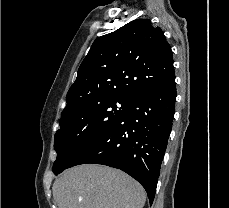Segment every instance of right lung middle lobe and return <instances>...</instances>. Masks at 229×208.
<instances>
[{
	"instance_id": "obj_1",
	"label": "right lung middle lobe",
	"mask_w": 229,
	"mask_h": 208,
	"mask_svg": "<svg viewBox=\"0 0 229 208\" xmlns=\"http://www.w3.org/2000/svg\"><path fill=\"white\" fill-rule=\"evenodd\" d=\"M133 100L126 96H106L78 106L61 117L54 139L55 175L65 170L86 144L113 125Z\"/></svg>"
}]
</instances>
